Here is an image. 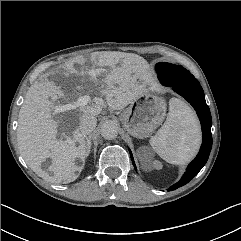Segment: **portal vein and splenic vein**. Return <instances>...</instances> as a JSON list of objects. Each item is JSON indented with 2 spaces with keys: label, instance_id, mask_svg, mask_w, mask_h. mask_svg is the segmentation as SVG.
<instances>
[{
  "label": "portal vein and splenic vein",
  "instance_id": "1",
  "mask_svg": "<svg viewBox=\"0 0 241 241\" xmlns=\"http://www.w3.org/2000/svg\"><path fill=\"white\" fill-rule=\"evenodd\" d=\"M89 101V97L87 96H84V97H81L78 99V106H83V105H86ZM61 111L64 112L65 109H64V106H61Z\"/></svg>",
  "mask_w": 241,
  "mask_h": 241
}]
</instances>
